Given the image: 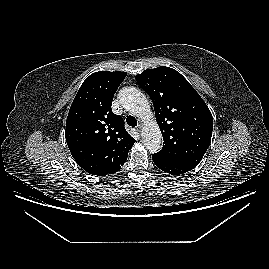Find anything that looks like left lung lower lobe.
I'll return each instance as SVG.
<instances>
[{
	"label": "left lung lower lobe",
	"instance_id": "0a47b994",
	"mask_svg": "<svg viewBox=\"0 0 269 269\" xmlns=\"http://www.w3.org/2000/svg\"><path fill=\"white\" fill-rule=\"evenodd\" d=\"M152 160L159 169L172 175H180L194 168L188 165H177L174 163L167 162L162 158L156 156L155 154L152 155Z\"/></svg>",
	"mask_w": 269,
	"mask_h": 269
}]
</instances>
